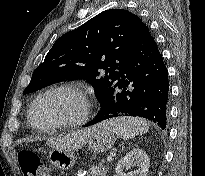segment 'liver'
Instances as JSON below:
<instances>
[{
    "label": "liver",
    "mask_w": 205,
    "mask_h": 176,
    "mask_svg": "<svg viewBox=\"0 0 205 176\" xmlns=\"http://www.w3.org/2000/svg\"><path fill=\"white\" fill-rule=\"evenodd\" d=\"M91 135V128L79 130L71 133L61 139L48 141L55 148L64 150H75L83 147L89 140Z\"/></svg>",
    "instance_id": "obj_1"
}]
</instances>
